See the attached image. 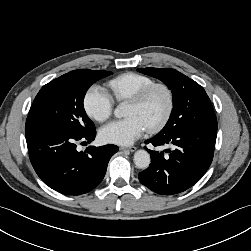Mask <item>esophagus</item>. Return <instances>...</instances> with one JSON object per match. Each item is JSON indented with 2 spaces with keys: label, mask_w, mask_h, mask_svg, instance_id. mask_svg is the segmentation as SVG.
<instances>
[{
  "label": "esophagus",
  "mask_w": 251,
  "mask_h": 251,
  "mask_svg": "<svg viewBox=\"0 0 251 251\" xmlns=\"http://www.w3.org/2000/svg\"><path fill=\"white\" fill-rule=\"evenodd\" d=\"M136 147L135 146H131V147H120L121 151H130V152H134L136 151Z\"/></svg>",
  "instance_id": "obj_1"
}]
</instances>
